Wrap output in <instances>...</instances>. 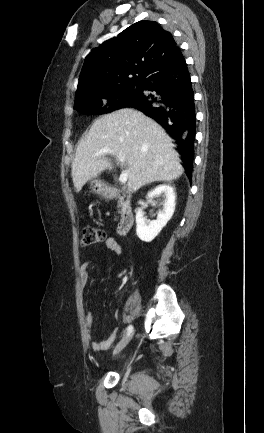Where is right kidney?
Instances as JSON below:
<instances>
[{
  "instance_id": "right-kidney-1",
  "label": "right kidney",
  "mask_w": 264,
  "mask_h": 433,
  "mask_svg": "<svg viewBox=\"0 0 264 433\" xmlns=\"http://www.w3.org/2000/svg\"><path fill=\"white\" fill-rule=\"evenodd\" d=\"M162 196L164 198L163 210L158 213L157 219L148 221L144 217L142 208H139L136 213V234L140 240L151 242L166 226L167 222L172 218L175 211V192L171 185L163 184L157 186L154 190L148 193L147 198L152 200L154 197Z\"/></svg>"
}]
</instances>
